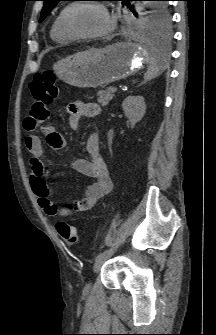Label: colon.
<instances>
[{
    "instance_id": "obj_1",
    "label": "colon",
    "mask_w": 216,
    "mask_h": 335,
    "mask_svg": "<svg viewBox=\"0 0 216 335\" xmlns=\"http://www.w3.org/2000/svg\"><path fill=\"white\" fill-rule=\"evenodd\" d=\"M29 90L36 100L35 104H45L46 108H49L58 96V90L54 84V75L49 71L35 74L29 85ZM39 100H43V103H39ZM56 230L68 244H75L79 241L77 229L66 221L57 222Z\"/></svg>"
}]
</instances>
